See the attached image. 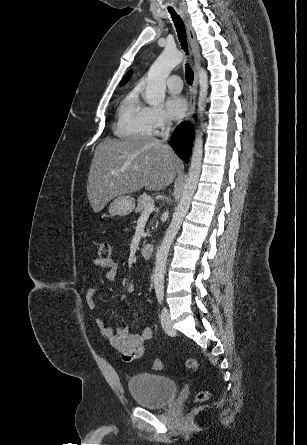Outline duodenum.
Masks as SVG:
<instances>
[{
  "mask_svg": "<svg viewBox=\"0 0 307 445\" xmlns=\"http://www.w3.org/2000/svg\"><path fill=\"white\" fill-rule=\"evenodd\" d=\"M154 246L151 243H145L142 245L140 252L144 258H150L152 256Z\"/></svg>",
  "mask_w": 307,
  "mask_h": 445,
  "instance_id": "410a0bca",
  "label": "duodenum"
}]
</instances>
